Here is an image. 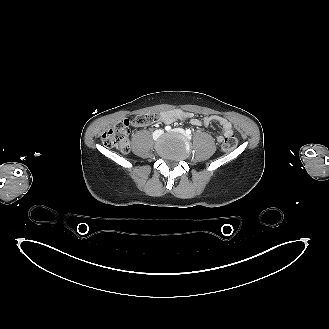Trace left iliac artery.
Here are the masks:
<instances>
[{
	"label": "left iliac artery",
	"mask_w": 329,
	"mask_h": 329,
	"mask_svg": "<svg viewBox=\"0 0 329 329\" xmlns=\"http://www.w3.org/2000/svg\"><path fill=\"white\" fill-rule=\"evenodd\" d=\"M186 134L189 136L191 134V130L190 129H187L186 130Z\"/></svg>",
	"instance_id": "44dca946"
}]
</instances>
